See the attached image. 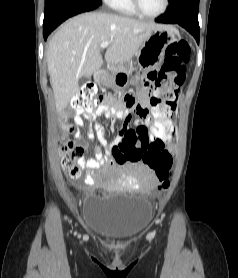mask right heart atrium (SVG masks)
Wrapping results in <instances>:
<instances>
[{
    "mask_svg": "<svg viewBox=\"0 0 238 278\" xmlns=\"http://www.w3.org/2000/svg\"><path fill=\"white\" fill-rule=\"evenodd\" d=\"M116 0H104V2L106 3V4H108L109 6H113V4H114V2H115Z\"/></svg>",
    "mask_w": 238,
    "mask_h": 278,
    "instance_id": "d8ad5b80",
    "label": "right heart atrium"
}]
</instances>
